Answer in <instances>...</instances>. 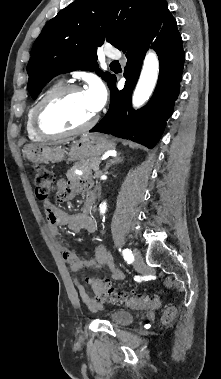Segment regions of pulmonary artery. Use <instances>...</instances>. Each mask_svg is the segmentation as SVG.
I'll list each match as a JSON object with an SVG mask.
<instances>
[{
  "label": "pulmonary artery",
  "instance_id": "obj_1",
  "mask_svg": "<svg viewBox=\"0 0 221 379\" xmlns=\"http://www.w3.org/2000/svg\"><path fill=\"white\" fill-rule=\"evenodd\" d=\"M106 57L108 59H119L121 58V53L117 50H107Z\"/></svg>",
  "mask_w": 221,
  "mask_h": 379
}]
</instances>
